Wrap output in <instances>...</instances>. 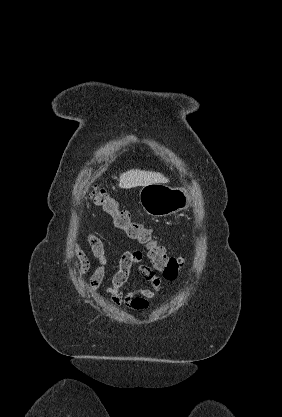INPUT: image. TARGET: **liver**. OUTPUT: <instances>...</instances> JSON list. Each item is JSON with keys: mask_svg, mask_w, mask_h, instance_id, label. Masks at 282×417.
<instances>
[{"mask_svg": "<svg viewBox=\"0 0 282 417\" xmlns=\"http://www.w3.org/2000/svg\"><path fill=\"white\" fill-rule=\"evenodd\" d=\"M156 182H169V178L161 172L132 168L120 174L119 186L120 188H133V186H145V184H156Z\"/></svg>", "mask_w": 282, "mask_h": 417, "instance_id": "liver-1", "label": "liver"}]
</instances>
